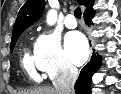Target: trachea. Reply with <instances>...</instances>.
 <instances>
[{
  "instance_id": "1",
  "label": "trachea",
  "mask_w": 121,
  "mask_h": 94,
  "mask_svg": "<svg viewBox=\"0 0 121 94\" xmlns=\"http://www.w3.org/2000/svg\"><path fill=\"white\" fill-rule=\"evenodd\" d=\"M81 9H80V7H77L76 9H75V11H74V15H75V17L77 18V19H80L81 18Z\"/></svg>"
}]
</instances>
